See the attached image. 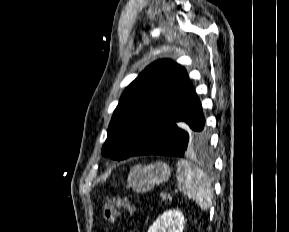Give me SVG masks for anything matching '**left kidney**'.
<instances>
[{"instance_id": "left-kidney-1", "label": "left kidney", "mask_w": 289, "mask_h": 232, "mask_svg": "<svg viewBox=\"0 0 289 232\" xmlns=\"http://www.w3.org/2000/svg\"><path fill=\"white\" fill-rule=\"evenodd\" d=\"M185 222L180 210H169L156 219L148 232H183Z\"/></svg>"}]
</instances>
